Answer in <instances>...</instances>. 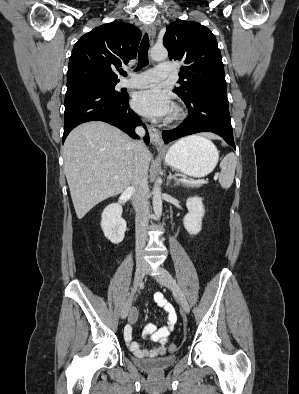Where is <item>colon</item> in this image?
<instances>
[{"mask_svg": "<svg viewBox=\"0 0 299 394\" xmlns=\"http://www.w3.org/2000/svg\"><path fill=\"white\" fill-rule=\"evenodd\" d=\"M174 348H175V347H174L173 345H170V346H169V350H171V351L174 350Z\"/></svg>", "mask_w": 299, "mask_h": 394, "instance_id": "obj_1", "label": "colon"}]
</instances>
